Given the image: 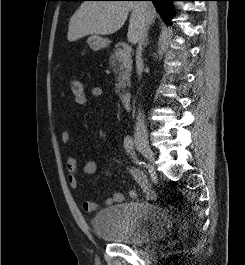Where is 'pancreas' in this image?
Instances as JSON below:
<instances>
[{"label": "pancreas", "instance_id": "1", "mask_svg": "<svg viewBox=\"0 0 245 265\" xmlns=\"http://www.w3.org/2000/svg\"><path fill=\"white\" fill-rule=\"evenodd\" d=\"M123 49L117 48L111 53L109 65L113 68L116 76L115 92L120 94V91L130 85V76L132 71V58L131 55H121Z\"/></svg>", "mask_w": 245, "mask_h": 265}]
</instances>
